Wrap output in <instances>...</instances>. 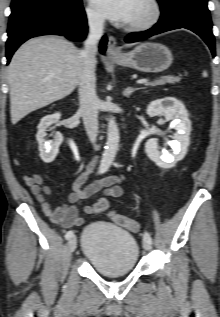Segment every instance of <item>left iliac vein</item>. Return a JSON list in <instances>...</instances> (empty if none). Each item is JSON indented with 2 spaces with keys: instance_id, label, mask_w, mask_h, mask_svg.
<instances>
[{
  "instance_id": "4c4485c4",
  "label": "left iliac vein",
  "mask_w": 220,
  "mask_h": 317,
  "mask_svg": "<svg viewBox=\"0 0 220 317\" xmlns=\"http://www.w3.org/2000/svg\"><path fill=\"white\" fill-rule=\"evenodd\" d=\"M142 245H143V248H144L146 251H150L151 248H152L151 243L148 242L147 240H143Z\"/></svg>"
}]
</instances>
